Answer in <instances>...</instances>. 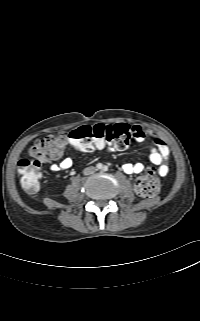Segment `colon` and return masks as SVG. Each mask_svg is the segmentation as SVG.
<instances>
[{
	"label": "colon",
	"mask_w": 200,
	"mask_h": 321,
	"mask_svg": "<svg viewBox=\"0 0 200 321\" xmlns=\"http://www.w3.org/2000/svg\"><path fill=\"white\" fill-rule=\"evenodd\" d=\"M132 132L128 126H80L68 133L50 134L36 140L30 148L29 157L18 161V173L21 176V185L28 193H35L40 187V168L43 163L57 156L66 143L82 151H93L112 144L116 149L123 150L129 143ZM161 188L160 180L155 171L147 170L135 180L134 189L143 198L156 196Z\"/></svg>",
	"instance_id": "colon-1"
}]
</instances>
